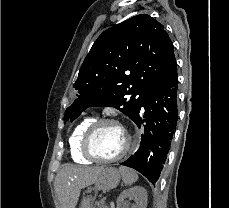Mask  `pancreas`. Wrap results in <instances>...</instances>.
<instances>
[{"label":"pancreas","mask_w":229,"mask_h":208,"mask_svg":"<svg viewBox=\"0 0 229 208\" xmlns=\"http://www.w3.org/2000/svg\"><path fill=\"white\" fill-rule=\"evenodd\" d=\"M95 208H107L104 200H100V202H96Z\"/></svg>","instance_id":"pancreas-1"}]
</instances>
